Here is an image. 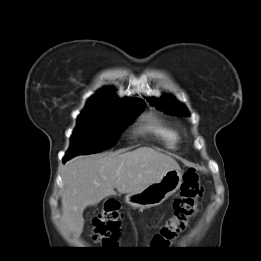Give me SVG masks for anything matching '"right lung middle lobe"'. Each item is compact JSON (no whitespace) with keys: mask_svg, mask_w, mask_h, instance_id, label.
<instances>
[{"mask_svg":"<svg viewBox=\"0 0 261 261\" xmlns=\"http://www.w3.org/2000/svg\"><path fill=\"white\" fill-rule=\"evenodd\" d=\"M144 106V101H88L77 120L66 155L74 157L111 148L130 121L142 112Z\"/></svg>","mask_w":261,"mask_h":261,"instance_id":"dd1d6c3e","label":"right lung middle lobe"}]
</instances>
